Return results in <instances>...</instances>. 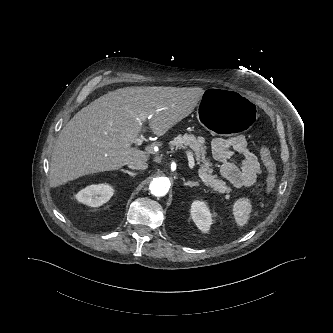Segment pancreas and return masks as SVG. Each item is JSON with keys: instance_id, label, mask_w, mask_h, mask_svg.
Here are the masks:
<instances>
[{"instance_id": "1", "label": "pancreas", "mask_w": 333, "mask_h": 333, "mask_svg": "<svg viewBox=\"0 0 333 333\" xmlns=\"http://www.w3.org/2000/svg\"><path fill=\"white\" fill-rule=\"evenodd\" d=\"M170 145L179 148L189 146L195 151L197 161L202 162L198 174L206 186H210L220 193H229L231 191V188L226 186L223 180L217 179L216 175H212V163L210 159L206 158V147L202 138L197 139L194 135L190 134L178 135L170 142Z\"/></svg>"}]
</instances>
